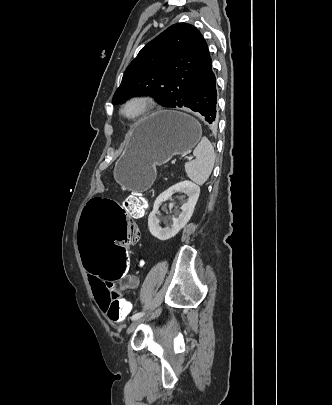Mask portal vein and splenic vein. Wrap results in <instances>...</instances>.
Wrapping results in <instances>:
<instances>
[{"instance_id": "18ae733b", "label": "portal vein and splenic vein", "mask_w": 332, "mask_h": 405, "mask_svg": "<svg viewBox=\"0 0 332 405\" xmlns=\"http://www.w3.org/2000/svg\"><path fill=\"white\" fill-rule=\"evenodd\" d=\"M192 159V157H188V160H191Z\"/></svg>"}]
</instances>
